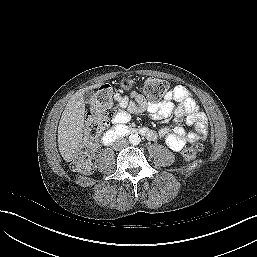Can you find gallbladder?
Listing matches in <instances>:
<instances>
[{"label": "gallbladder", "instance_id": "bac80fb5", "mask_svg": "<svg viewBox=\"0 0 257 257\" xmlns=\"http://www.w3.org/2000/svg\"><path fill=\"white\" fill-rule=\"evenodd\" d=\"M92 96H93V92L90 91V90H87L83 94V99H84L85 102H89L90 99L92 98Z\"/></svg>", "mask_w": 257, "mask_h": 257}]
</instances>
